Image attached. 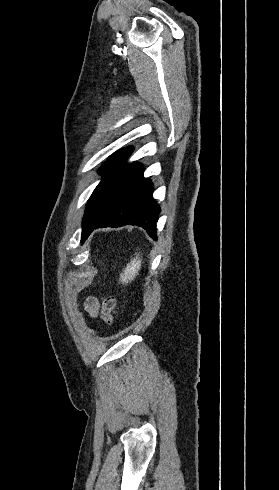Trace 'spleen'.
Returning a JSON list of instances; mask_svg holds the SVG:
<instances>
[{"instance_id": "obj_1", "label": "spleen", "mask_w": 279, "mask_h": 490, "mask_svg": "<svg viewBox=\"0 0 279 490\" xmlns=\"http://www.w3.org/2000/svg\"><path fill=\"white\" fill-rule=\"evenodd\" d=\"M134 256L135 258H132L129 264H126L123 274H120L119 282H121V284H129V282H133V280H135L136 276H139L142 260L140 258V254H134Z\"/></svg>"}]
</instances>
